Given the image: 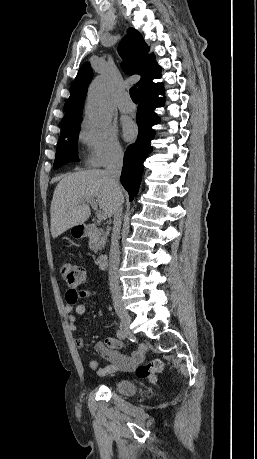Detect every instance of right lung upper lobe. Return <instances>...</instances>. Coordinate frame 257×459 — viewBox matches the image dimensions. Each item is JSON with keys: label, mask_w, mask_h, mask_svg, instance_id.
<instances>
[{"label": "right lung upper lobe", "mask_w": 257, "mask_h": 459, "mask_svg": "<svg viewBox=\"0 0 257 459\" xmlns=\"http://www.w3.org/2000/svg\"><path fill=\"white\" fill-rule=\"evenodd\" d=\"M118 51L124 60V71L130 75L139 74L141 76L137 82L139 92L150 84L152 79L160 76L161 68L155 63V56L147 54L149 47L144 42L142 35L134 28L128 29L127 35L119 44ZM92 77V68L86 62L81 66L74 80L70 97L66 103L61 133L81 123L82 106Z\"/></svg>", "instance_id": "cb5924a9"}]
</instances>
